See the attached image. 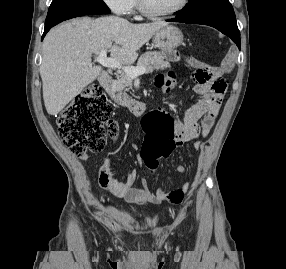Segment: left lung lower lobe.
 Listing matches in <instances>:
<instances>
[{
  "label": "left lung lower lobe",
  "instance_id": "left-lung-lower-lobe-1",
  "mask_svg": "<svg viewBox=\"0 0 286 269\" xmlns=\"http://www.w3.org/2000/svg\"><path fill=\"white\" fill-rule=\"evenodd\" d=\"M169 22H182L189 24H204L218 29L223 34L230 37L234 43L240 49V32L237 27L236 18L232 17H195V18H182L177 16L176 18L167 20Z\"/></svg>",
  "mask_w": 286,
  "mask_h": 269
}]
</instances>
